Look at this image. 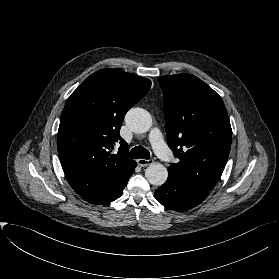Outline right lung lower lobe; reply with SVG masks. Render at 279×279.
Wrapping results in <instances>:
<instances>
[{
    "label": "right lung lower lobe",
    "mask_w": 279,
    "mask_h": 279,
    "mask_svg": "<svg viewBox=\"0 0 279 279\" xmlns=\"http://www.w3.org/2000/svg\"><path fill=\"white\" fill-rule=\"evenodd\" d=\"M128 180L124 183V185L117 191L115 192L114 194H112L110 197H108L107 199H104L103 201H101L100 203H98L97 205L99 204H106V203H109V202H112L114 200H116L117 198H119L123 192V189L125 188L126 184H127Z\"/></svg>",
    "instance_id": "98d812e1"
}]
</instances>
